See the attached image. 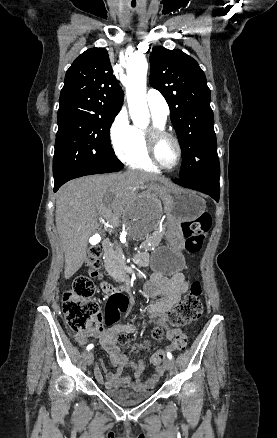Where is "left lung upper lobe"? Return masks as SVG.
Wrapping results in <instances>:
<instances>
[{"label":"left lung upper lobe","instance_id":"5c2ea615","mask_svg":"<svg viewBox=\"0 0 277 438\" xmlns=\"http://www.w3.org/2000/svg\"><path fill=\"white\" fill-rule=\"evenodd\" d=\"M150 84L165 97L183 154L180 179L220 178L210 89L198 63L179 49L150 54Z\"/></svg>","mask_w":277,"mask_h":438}]
</instances>
